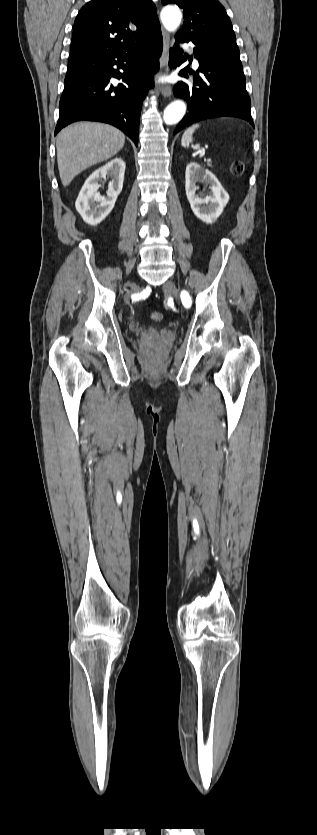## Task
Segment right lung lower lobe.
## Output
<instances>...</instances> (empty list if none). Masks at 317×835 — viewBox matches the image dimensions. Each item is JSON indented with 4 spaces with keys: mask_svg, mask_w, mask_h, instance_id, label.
<instances>
[{
    "mask_svg": "<svg viewBox=\"0 0 317 835\" xmlns=\"http://www.w3.org/2000/svg\"><path fill=\"white\" fill-rule=\"evenodd\" d=\"M161 53V30L156 29L149 38L116 53L70 54L66 75L69 80L65 81L60 99L55 135L76 121H98L121 129L137 145L142 102ZM111 77L122 78L123 82L114 88L109 85Z\"/></svg>",
    "mask_w": 317,
    "mask_h": 835,
    "instance_id": "98d812e1",
    "label": "right lung lower lobe"
}]
</instances>
